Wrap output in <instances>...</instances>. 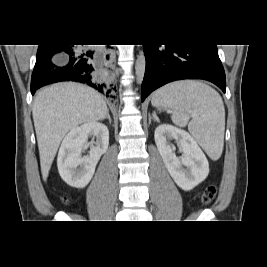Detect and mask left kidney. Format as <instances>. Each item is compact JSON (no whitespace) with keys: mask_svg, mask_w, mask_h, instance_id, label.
I'll use <instances>...</instances> for the list:
<instances>
[{"mask_svg":"<svg viewBox=\"0 0 267 267\" xmlns=\"http://www.w3.org/2000/svg\"><path fill=\"white\" fill-rule=\"evenodd\" d=\"M154 138L169 174L181 189L189 191L206 179L208 160L188 132L163 124L155 129ZM173 139L183 152L182 157L176 156L175 146L170 142Z\"/></svg>","mask_w":267,"mask_h":267,"instance_id":"obj_1","label":"left kidney"}]
</instances>
